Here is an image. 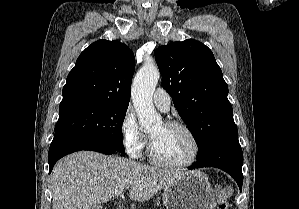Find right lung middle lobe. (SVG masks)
<instances>
[{
  "instance_id": "right-lung-middle-lobe-1",
  "label": "right lung middle lobe",
  "mask_w": 299,
  "mask_h": 209,
  "mask_svg": "<svg viewBox=\"0 0 299 209\" xmlns=\"http://www.w3.org/2000/svg\"><path fill=\"white\" fill-rule=\"evenodd\" d=\"M127 108L104 103L60 104L55 135L102 141L123 153L122 124Z\"/></svg>"
}]
</instances>
